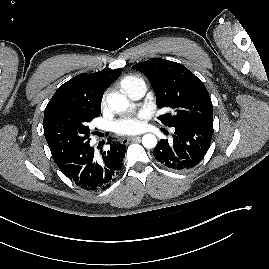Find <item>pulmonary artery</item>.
Here are the masks:
<instances>
[{"label":"pulmonary artery","mask_w":269,"mask_h":269,"mask_svg":"<svg viewBox=\"0 0 269 269\" xmlns=\"http://www.w3.org/2000/svg\"><path fill=\"white\" fill-rule=\"evenodd\" d=\"M145 92H146L145 83H139L131 90L128 96L133 100H139L144 96Z\"/></svg>","instance_id":"e3ab8cb5"}]
</instances>
